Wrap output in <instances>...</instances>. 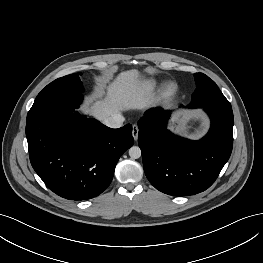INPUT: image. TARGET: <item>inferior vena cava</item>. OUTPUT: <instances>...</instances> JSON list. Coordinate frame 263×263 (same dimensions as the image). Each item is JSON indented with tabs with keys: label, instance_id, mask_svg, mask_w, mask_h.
Here are the masks:
<instances>
[{
	"label": "inferior vena cava",
	"instance_id": "1",
	"mask_svg": "<svg viewBox=\"0 0 263 263\" xmlns=\"http://www.w3.org/2000/svg\"><path fill=\"white\" fill-rule=\"evenodd\" d=\"M123 122L124 117L119 113L112 114L103 121V123L110 128H120L122 127Z\"/></svg>",
	"mask_w": 263,
	"mask_h": 263
}]
</instances>
